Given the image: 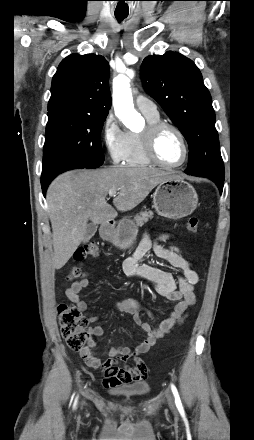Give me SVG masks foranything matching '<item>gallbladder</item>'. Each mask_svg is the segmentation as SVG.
<instances>
[{
    "label": "gallbladder",
    "instance_id": "1",
    "mask_svg": "<svg viewBox=\"0 0 254 440\" xmlns=\"http://www.w3.org/2000/svg\"><path fill=\"white\" fill-rule=\"evenodd\" d=\"M98 226L94 223H89L87 225L85 234H84V238H83V243H87L96 233Z\"/></svg>",
    "mask_w": 254,
    "mask_h": 440
}]
</instances>
